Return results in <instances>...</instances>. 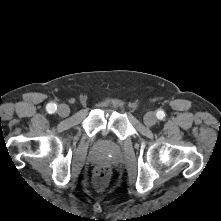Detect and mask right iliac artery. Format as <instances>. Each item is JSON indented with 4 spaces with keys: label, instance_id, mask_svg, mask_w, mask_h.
<instances>
[{
    "label": "right iliac artery",
    "instance_id": "82829eb1",
    "mask_svg": "<svg viewBox=\"0 0 221 221\" xmlns=\"http://www.w3.org/2000/svg\"><path fill=\"white\" fill-rule=\"evenodd\" d=\"M46 109L48 113L52 114V113H55V111L57 110V106L54 103H49L47 104Z\"/></svg>",
    "mask_w": 221,
    "mask_h": 221
}]
</instances>
